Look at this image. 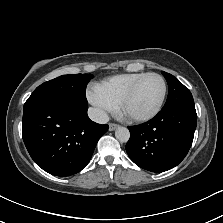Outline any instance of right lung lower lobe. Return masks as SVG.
I'll return each instance as SVG.
<instances>
[{"instance_id": "obj_1", "label": "right lung lower lobe", "mask_w": 223, "mask_h": 223, "mask_svg": "<svg viewBox=\"0 0 223 223\" xmlns=\"http://www.w3.org/2000/svg\"><path fill=\"white\" fill-rule=\"evenodd\" d=\"M87 104L68 101L24 109L22 137L34 162L56 176L81 171L90 161L108 125L91 121Z\"/></svg>"}]
</instances>
